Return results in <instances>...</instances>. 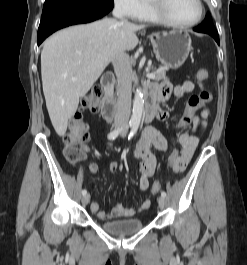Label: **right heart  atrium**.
Here are the masks:
<instances>
[{"mask_svg":"<svg viewBox=\"0 0 247 265\" xmlns=\"http://www.w3.org/2000/svg\"><path fill=\"white\" fill-rule=\"evenodd\" d=\"M116 9L130 19H138L146 8L145 0H114Z\"/></svg>","mask_w":247,"mask_h":265,"instance_id":"right-heart-atrium-1","label":"right heart atrium"}]
</instances>
